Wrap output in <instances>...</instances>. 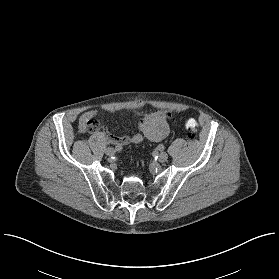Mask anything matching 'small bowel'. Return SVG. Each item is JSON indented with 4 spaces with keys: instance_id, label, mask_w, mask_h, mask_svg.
I'll return each instance as SVG.
<instances>
[{
    "instance_id": "small-bowel-1",
    "label": "small bowel",
    "mask_w": 279,
    "mask_h": 279,
    "mask_svg": "<svg viewBox=\"0 0 279 279\" xmlns=\"http://www.w3.org/2000/svg\"><path fill=\"white\" fill-rule=\"evenodd\" d=\"M106 110L109 112L114 111V109L110 107L106 108ZM99 114L98 110L85 111L79 118V127L82 131H84L87 125L92 128V131L101 129L109 143L114 146L136 144L141 142L144 138L151 141H162L169 134V120L173 117L170 112L162 110L149 113L142 117L139 121L141 133L117 137L107 127L101 126L96 121H92V119Z\"/></svg>"
}]
</instances>
